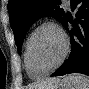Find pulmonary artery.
Segmentation results:
<instances>
[{
	"label": "pulmonary artery",
	"instance_id": "e3ab8cb5",
	"mask_svg": "<svg viewBox=\"0 0 89 89\" xmlns=\"http://www.w3.org/2000/svg\"><path fill=\"white\" fill-rule=\"evenodd\" d=\"M64 3H65L66 5H69V0H64Z\"/></svg>",
	"mask_w": 89,
	"mask_h": 89
}]
</instances>
